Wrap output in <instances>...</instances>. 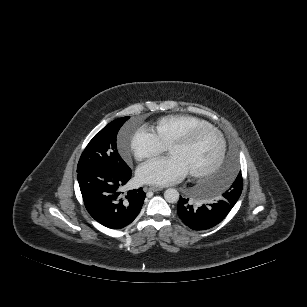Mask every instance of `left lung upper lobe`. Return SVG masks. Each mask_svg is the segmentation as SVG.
Instances as JSON below:
<instances>
[{
    "label": "left lung upper lobe",
    "instance_id": "left-lung-upper-lobe-1",
    "mask_svg": "<svg viewBox=\"0 0 307 307\" xmlns=\"http://www.w3.org/2000/svg\"><path fill=\"white\" fill-rule=\"evenodd\" d=\"M243 187V179L241 172L237 175L235 181L231 185V187L225 192L231 198L238 200Z\"/></svg>",
    "mask_w": 307,
    "mask_h": 307
}]
</instances>
